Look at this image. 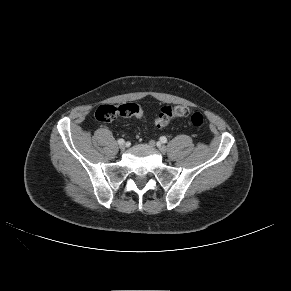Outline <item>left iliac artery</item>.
I'll return each instance as SVG.
<instances>
[{
    "instance_id": "44dca946",
    "label": "left iliac artery",
    "mask_w": 291,
    "mask_h": 291,
    "mask_svg": "<svg viewBox=\"0 0 291 291\" xmlns=\"http://www.w3.org/2000/svg\"><path fill=\"white\" fill-rule=\"evenodd\" d=\"M160 142L161 143H166L167 142V138L165 136L160 137Z\"/></svg>"
}]
</instances>
